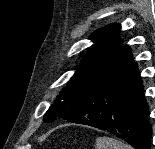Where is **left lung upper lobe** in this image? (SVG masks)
Wrapping results in <instances>:
<instances>
[{"instance_id":"obj_1","label":"left lung upper lobe","mask_w":155,"mask_h":149,"mask_svg":"<svg viewBox=\"0 0 155 149\" xmlns=\"http://www.w3.org/2000/svg\"><path fill=\"white\" fill-rule=\"evenodd\" d=\"M120 29L121 25L114 23L90 36L89 39L96 43L95 46L82 60L67 87L58 96V100L45 113L44 122H52L57 118L65 119L85 90L113 65L123 44L117 36Z\"/></svg>"}]
</instances>
